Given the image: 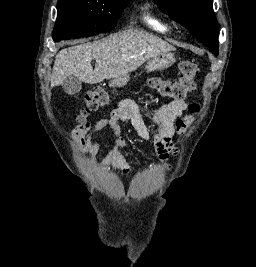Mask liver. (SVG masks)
<instances>
[{"label": "liver", "mask_w": 256, "mask_h": 267, "mask_svg": "<svg viewBox=\"0 0 256 267\" xmlns=\"http://www.w3.org/2000/svg\"><path fill=\"white\" fill-rule=\"evenodd\" d=\"M175 50L168 42L143 30H122L104 40L61 50L55 58L51 88L63 84L67 76H76L85 84H100L111 78L121 82L150 58ZM92 60H96L95 70Z\"/></svg>", "instance_id": "liver-1"}]
</instances>
